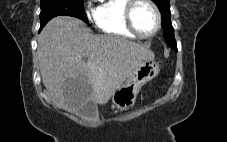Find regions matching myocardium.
<instances>
[{
    "mask_svg": "<svg viewBox=\"0 0 227 142\" xmlns=\"http://www.w3.org/2000/svg\"><path fill=\"white\" fill-rule=\"evenodd\" d=\"M140 3H146L149 6H151L156 14L157 27L151 34H148V35L141 33L136 28L135 23H134V18H133L134 11ZM124 19H125V24H126L128 30L131 33H133L135 36L142 38V39L153 38L154 36H156L159 33V31L161 30V27H162L161 12H160L159 7L156 5V3L153 0H128V3L126 4L125 10H124Z\"/></svg>",
    "mask_w": 227,
    "mask_h": 142,
    "instance_id": "1",
    "label": "myocardium"
}]
</instances>
